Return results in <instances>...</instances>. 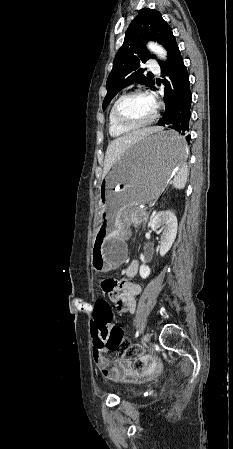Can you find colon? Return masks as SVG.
I'll use <instances>...</instances> for the list:
<instances>
[{"label": "colon", "mask_w": 233, "mask_h": 449, "mask_svg": "<svg viewBox=\"0 0 233 449\" xmlns=\"http://www.w3.org/2000/svg\"><path fill=\"white\" fill-rule=\"evenodd\" d=\"M98 310H93V319H90V328L93 335V349H106L117 351L125 357H136L140 352L139 345H132L125 336L121 327L110 326L114 317L113 310L106 302L97 303ZM141 363L138 362V365Z\"/></svg>", "instance_id": "1"}]
</instances>
